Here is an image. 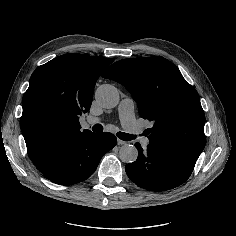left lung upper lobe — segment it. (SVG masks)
Returning a JSON list of instances; mask_svg holds the SVG:
<instances>
[{"label":"left lung upper lobe","instance_id":"5c2ea615","mask_svg":"<svg viewBox=\"0 0 236 236\" xmlns=\"http://www.w3.org/2000/svg\"><path fill=\"white\" fill-rule=\"evenodd\" d=\"M102 76L125 86L140 116L154 123L144 132L150 142L198 159L205 147L204 111L197 91L172 62L160 56L123 59Z\"/></svg>","mask_w":236,"mask_h":236}]
</instances>
